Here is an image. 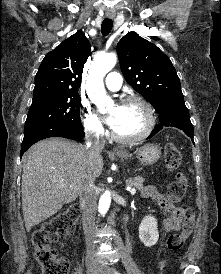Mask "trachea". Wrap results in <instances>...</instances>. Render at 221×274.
Listing matches in <instances>:
<instances>
[{"label":"trachea","instance_id":"obj_1","mask_svg":"<svg viewBox=\"0 0 221 274\" xmlns=\"http://www.w3.org/2000/svg\"><path fill=\"white\" fill-rule=\"evenodd\" d=\"M113 27V21L109 18H106L103 20L102 25H101V32L103 36H107Z\"/></svg>","mask_w":221,"mask_h":274}]
</instances>
